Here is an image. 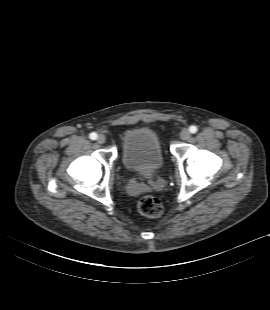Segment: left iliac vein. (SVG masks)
Segmentation results:
<instances>
[{"label": "left iliac vein", "mask_w": 270, "mask_h": 310, "mask_svg": "<svg viewBox=\"0 0 270 310\" xmlns=\"http://www.w3.org/2000/svg\"><path fill=\"white\" fill-rule=\"evenodd\" d=\"M190 131L186 128L182 129L181 132H180V138L182 140H187L190 138Z\"/></svg>", "instance_id": "1"}]
</instances>
